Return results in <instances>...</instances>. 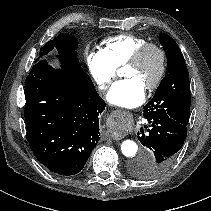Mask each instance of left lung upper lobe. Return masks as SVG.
<instances>
[{
    "label": "left lung upper lobe",
    "instance_id": "1",
    "mask_svg": "<svg viewBox=\"0 0 211 211\" xmlns=\"http://www.w3.org/2000/svg\"><path fill=\"white\" fill-rule=\"evenodd\" d=\"M159 40L167 57V70L154 97L144 106V117H169L187 126L190 117L189 73L176 41L165 33ZM131 172L137 175L135 169ZM139 177V176H138Z\"/></svg>",
    "mask_w": 211,
    "mask_h": 211
}]
</instances>
